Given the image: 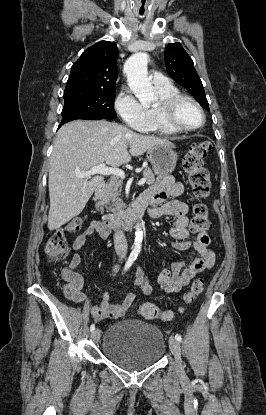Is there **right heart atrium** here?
I'll use <instances>...</instances> for the list:
<instances>
[{
	"mask_svg": "<svg viewBox=\"0 0 266 415\" xmlns=\"http://www.w3.org/2000/svg\"><path fill=\"white\" fill-rule=\"evenodd\" d=\"M115 108L120 117L135 129H144L149 115L144 107L129 90L120 92L115 101Z\"/></svg>",
	"mask_w": 266,
	"mask_h": 415,
	"instance_id": "obj_1",
	"label": "right heart atrium"
}]
</instances>
